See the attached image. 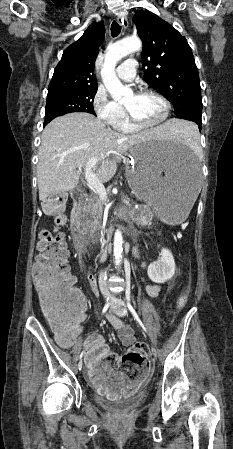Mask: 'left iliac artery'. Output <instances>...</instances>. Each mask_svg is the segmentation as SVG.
<instances>
[{"label": "left iliac artery", "mask_w": 233, "mask_h": 449, "mask_svg": "<svg viewBox=\"0 0 233 449\" xmlns=\"http://www.w3.org/2000/svg\"><path fill=\"white\" fill-rule=\"evenodd\" d=\"M126 300H127V306H128V309L130 310L131 314L133 315L134 320H135V321L142 327L143 331H144L145 333H147V330H146L144 324H143L142 321L140 320V318H139L137 312L135 311L134 307H133L132 304H131L130 291H126Z\"/></svg>", "instance_id": "1"}]
</instances>
